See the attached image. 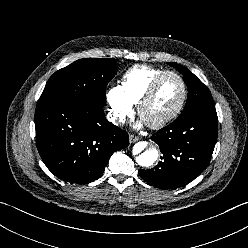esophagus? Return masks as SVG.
Wrapping results in <instances>:
<instances>
[{"instance_id": "1", "label": "esophagus", "mask_w": 248, "mask_h": 248, "mask_svg": "<svg viewBox=\"0 0 248 248\" xmlns=\"http://www.w3.org/2000/svg\"><path fill=\"white\" fill-rule=\"evenodd\" d=\"M138 140H139V138L137 136L129 135V143H133V142H136Z\"/></svg>"}]
</instances>
